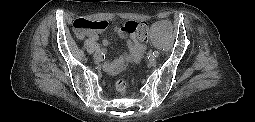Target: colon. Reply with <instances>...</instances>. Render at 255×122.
I'll return each mask as SVG.
<instances>
[{
    "label": "colon",
    "mask_w": 255,
    "mask_h": 122,
    "mask_svg": "<svg viewBox=\"0 0 255 122\" xmlns=\"http://www.w3.org/2000/svg\"><path fill=\"white\" fill-rule=\"evenodd\" d=\"M108 27V22L105 20H89L85 18H78L73 22L74 33L82 38L89 31H103ZM124 28L128 32H135L140 40L147 37V27L144 23L136 21H127ZM116 89L121 96L127 94V86L123 80L116 83Z\"/></svg>",
    "instance_id": "5ec220e1"
}]
</instances>
